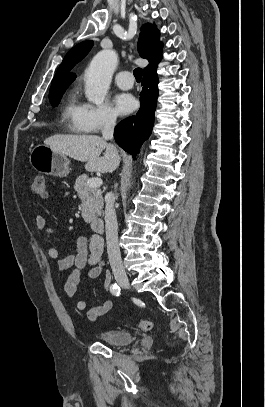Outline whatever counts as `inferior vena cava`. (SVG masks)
<instances>
[{"label": "inferior vena cava", "mask_w": 265, "mask_h": 407, "mask_svg": "<svg viewBox=\"0 0 265 407\" xmlns=\"http://www.w3.org/2000/svg\"><path fill=\"white\" fill-rule=\"evenodd\" d=\"M116 125V117L112 114H107L104 119L102 136L105 140L113 138L114 128ZM115 198L112 192L106 196L105 205V228H106V242L109 262L115 278H125L126 273L123 267L120 249L118 245V225L114 209Z\"/></svg>", "instance_id": "602c4592"}]
</instances>
